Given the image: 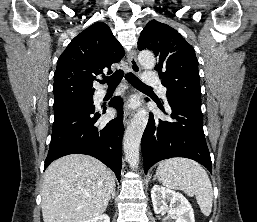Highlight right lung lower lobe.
<instances>
[{
	"label": "right lung lower lobe",
	"instance_id": "right-lung-lower-lobe-1",
	"mask_svg": "<svg viewBox=\"0 0 257 222\" xmlns=\"http://www.w3.org/2000/svg\"><path fill=\"white\" fill-rule=\"evenodd\" d=\"M110 106L118 111V115L106 125L98 124L100 114L95 110L86 113L73 112L54 119L45 168L62 156L86 154L111 168L120 180L121 145L124 133L123 101L116 96Z\"/></svg>",
	"mask_w": 257,
	"mask_h": 222
}]
</instances>
